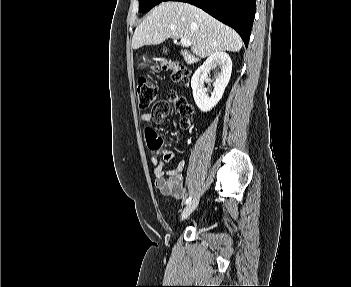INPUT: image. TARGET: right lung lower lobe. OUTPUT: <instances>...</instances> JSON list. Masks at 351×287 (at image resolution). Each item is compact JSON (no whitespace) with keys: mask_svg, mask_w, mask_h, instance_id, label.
Here are the masks:
<instances>
[{"mask_svg":"<svg viewBox=\"0 0 351 287\" xmlns=\"http://www.w3.org/2000/svg\"><path fill=\"white\" fill-rule=\"evenodd\" d=\"M197 6L219 21L235 29L248 46L255 16L256 0H164Z\"/></svg>","mask_w":351,"mask_h":287,"instance_id":"1","label":"right lung lower lobe"}]
</instances>
